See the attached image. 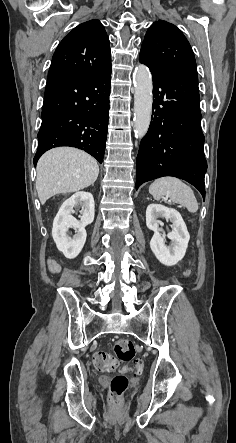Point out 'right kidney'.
<instances>
[{"label":"right kidney","instance_id":"1","mask_svg":"<svg viewBox=\"0 0 236 443\" xmlns=\"http://www.w3.org/2000/svg\"><path fill=\"white\" fill-rule=\"evenodd\" d=\"M75 207H82L79 221L72 216ZM94 213V198L89 192L73 194L60 207L53 221L52 236L65 257L73 259L81 252L87 237L85 227L93 222ZM69 228L75 229L73 236L69 234Z\"/></svg>","mask_w":236,"mask_h":443}]
</instances>
